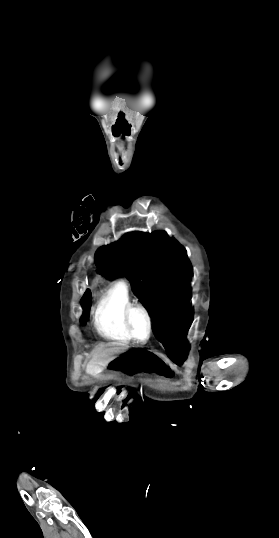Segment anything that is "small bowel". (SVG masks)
I'll use <instances>...</instances> for the list:
<instances>
[{"label":"small bowel","instance_id":"c3829d8e","mask_svg":"<svg viewBox=\"0 0 279 538\" xmlns=\"http://www.w3.org/2000/svg\"><path fill=\"white\" fill-rule=\"evenodd\" d=\"M161 376H163L165 378H170L171 377V375L168 372H161Z\"/></svg>","mask_w":279,"mask_h":538}]
</instances>
